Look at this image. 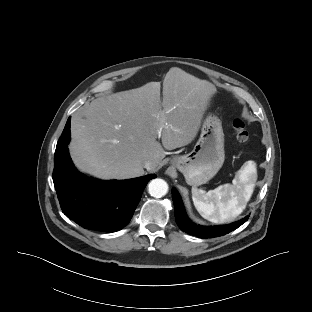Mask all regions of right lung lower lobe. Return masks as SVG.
I'll list each match as a JSON object with an SVG mask.
<instances>
[{"label":"right lung lower lobe","instance_id":"right-lung-lower-lobe-1","mask_svg":"<svg viewBox=\"0 0 312 312\" xmlns=\"http://www.w3.org/2000/svg\"><path fill=\"white\" fill-rule=\"evenodd\" d=\"M70 120L57 143L53 182L63 213L86 229L115 232L125 227L155 174L124 181H92L78 172L69 153Z\"/></svg>","mask_w":312,"mask_h":312}]
</instances>
